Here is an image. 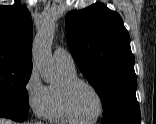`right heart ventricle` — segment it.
<instances>
[{
    "mask_svg": "<svg viewBox=\"0 0 156 124\" xmlns=\"http://www.w3.org/2000/svg\"><path fill=\"white\" fill-rule=\"evenodd\" d=\"M59 67L63 74V80L77 77V73L75 69L71 70V69L61 67V66ZM59 85L60 84H53L48 87V93H49V116L48 118L54 122L71 123L73 121H71L68 118V116L63 111V108L61 105Z\"/></svg>",
    "mask_w": 156,
    "mask_h": 124,
    "instance_id": "right-heart-ventricle-1",
    "label": "right heart ventricle"
}]
</instances>
